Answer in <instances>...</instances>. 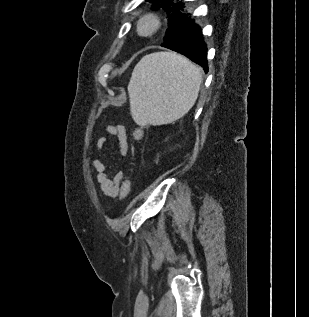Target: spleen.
Masks as SVG:
<instances>
[{
    "mask_svg": "<svg viewBox=\"0 0 309 317\" xmlns=\"http://www.w3.org/2000/svg\"><path fill=\"white\" fill-rule=\"evenodd\" d=\"M201 82L200 69L181 55L155 52L144 56L128 84L132 118L141 126L180 119L194 106Z\"/></svg>",
    "mask_w": 309,
    "mask_h": 317,
    "instance_id": "1",
    "label": "spleen"
}]
</instances>
